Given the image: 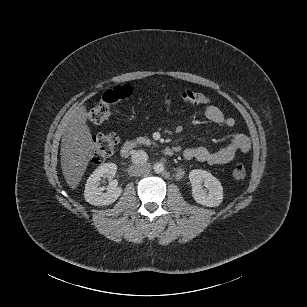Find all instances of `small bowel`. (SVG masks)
Listing matches in <instances>:
<instances>
[{
    "mask_svg": "<svg viewBox=\"0 0 307 307\" xmlns=\"http://www.w3.org/2000/svg\"><path fill=\"white\" fill-rule=\"evenodd\" d=\"M203 112L210 122L232 130L230 142L217 151H210L203 146L187 148L183 152L186 159L197 160L209 165H221L231 162L237 153H246L250 150V139L235 130L236 121L234 118L226 116L215 105H206Z\"/></svg>",
    "mask_w": 307,
    "mask_h": 307,
    "instance_id": "small-bowel-1",
    "label": "small bowel"
}]
</instances>
